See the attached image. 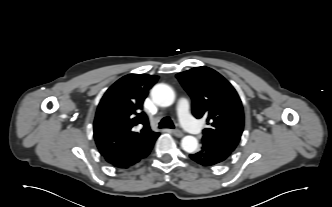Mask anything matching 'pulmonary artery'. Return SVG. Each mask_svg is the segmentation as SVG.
Returning <instances> with one entry per match:
<instances>
[{
	"mask_svg": "<svg viewBox=\"0 0 332 207\" xmlns=\"http://www.w3.org/2000/svg\"><path fill=\"white\" fill-rule=\"evenodd\" d=\"M177 114L181 124L193 133L200 131L199 127L190 118V102L186 97H180L177 102Z\"/></svg>",
	"mask_w": 332,
	"mask_h": 207,
	"instance_id": "1",
	"label": "pulmonary artery"
}]
</instances>
